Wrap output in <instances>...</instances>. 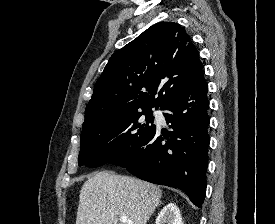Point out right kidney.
I'll list each match as a JSON object with an SVG mask.
<instances>
[{
  "instance_id": "1",
  "label": "right kidney",
  "mask_w": 275,
  "mask_h": 224,
  "mask_svg": "<svg viewBox=\"0 0 275 224\" xmlns=\"http://www.w3.org/2000/svg\"><path fill=\"white\" fill-rule=\"evenodd\" d=\"M156 224H183L180 211L176 204L169 203L159 213Z\"/></svg>"
}]
</instances>
